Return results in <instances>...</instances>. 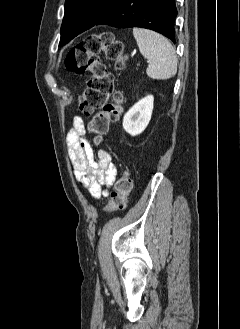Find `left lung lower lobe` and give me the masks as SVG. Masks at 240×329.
Masks as SVG:
<instances>
[{
	"label": "left lung lower lobe",
	"instance_id": "obj_1",
	"mask_svg": "<svg viewBox=\"0 0 240 329\" xmlns=\"http://www.w3.org/2000/svg\"><path fill=\"white\" fill-rule=\"evenodd\" d=\"M176 16L175 0H119L95 25L147 28L175 43Z\"/></svg>",
	"mask_w": 240,
	"mask_h": 329
}]
</instances>
